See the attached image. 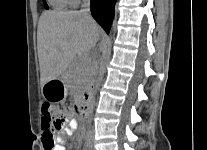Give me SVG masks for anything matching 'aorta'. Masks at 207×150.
I'll return each mask as SVG.
<instances>
[{"mask_svg":"<svg viewBox=\"0 0 207 150\" xmlns=\"http://www.w3.org/2000/svg\"><path fill=\"white\" fill-rule=\"evenodd\" d=\"M110 54H111V35H109L106 39V43H105V47L99 62V68H98V72H97V79L94 83L93 86V93L94 95L97 94V91L99 90V87L102 83V79L104 76V72H105V67L106 64L110 58Z\"/></svg>","mask_w":207,"mask_h":150,"instance_id":"762f6f07","label":"aorta"}]
</instances>
